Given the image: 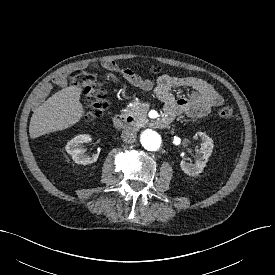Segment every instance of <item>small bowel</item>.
<instances>
[{
  "instance_id": "c3829d8e",
  "label": "small bowel",
  "mask_w": 275,
  "mask_h": 275,
  "mask_svg": "<svg viewBox=\"0 0 275 275\" xmlns=\"http://www.w3.org/2000/svg\"><path fill=\"white\" fill-rule=\"evenodd\" d=\"M124 77L134 86L146 92H153L165 104L166 115L171 119L180 114L199 118L209 115L215 107L224 102L218 92L206 81L196 77H174L161 75L156 83L150 79H142L131 70L123 69ZM55 84L66 85V73L55 79ZM177 87H186L190 90L188 97L175 98L172 90Z\"/></svg>"
}]
</instances>
